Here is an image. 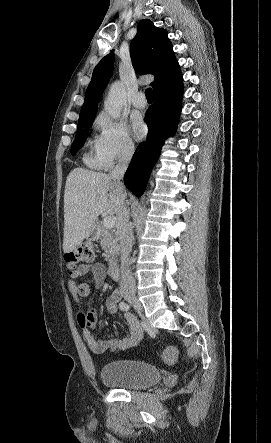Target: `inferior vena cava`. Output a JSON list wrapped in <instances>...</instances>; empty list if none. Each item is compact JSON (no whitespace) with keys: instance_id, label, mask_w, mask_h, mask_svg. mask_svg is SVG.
I'll return each instance as SVG.
<instances>
[{"instance_id":"1","label":"inferior vena cava","mask_w":271,"mask_h":443,"mask_svg":"<svg viewBox=\"0 0 271 443\" xmlns=\"http://www.w3.org/2000/svg\"><path fill=\"white\" fill-rule=\"evenodd\" d=\"M135 146L131 140L123 142L120 148L119 160L117 166L109 174L110 178H114L119 184V190H122L123 204L121 206V220L118 225V235L120 239V253H121V265H120V289L122 291L121 296H136L137 290L135 288V279L129 269V253L131 251L133 243V229L129 223V210L125 204V198L127 196L124 186L120 180H123L124 174L128 168V164L134 154Z\"/></svg>"}]
</instances>
